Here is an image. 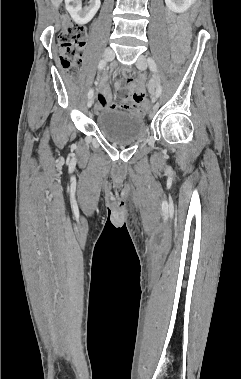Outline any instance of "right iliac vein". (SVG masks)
I'll use <instances>...</instances> for the list:
<instances>
[{"instance_id":"63e3f726","label":"right iliac vein","mask_w":241,"mask_h":379,"mask_svg":"<svg viewBox=\"0 0 241 379\" xmlns=\"http://www.w3.org/2000/svg\"><path fill=\"white\" fill-rule=\"evenodd\" d=\"M103 56H104V59L106 61H112L114 59L115 54H114V51L112 49L107 48V49H105ZM93 102H94V99L89 98V100L87 102L88 108H90L92 106Z\"/></svg>"}]
</instances>
